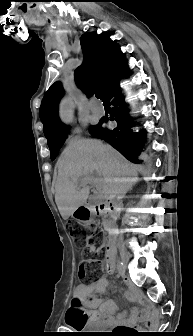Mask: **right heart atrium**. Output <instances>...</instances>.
Instances as JSON below:
<instances>
[{
  "mask_svg": "<svg viewBox=\"0 0 193 336\" xmlns=\"http://www.w3.org/2000/svg\"><path fill=\"white\" fill-rule=\"evenodd\" d=\"M79 135V131L78 130H72L68 133L66 140L67 141H72L75 137H77Z\"/></svg>",
  "mask_w": 193,
  "mask_h": 336,
  "instance_id": "right-heart-atrium-1",
  "label": "right heart atrium"
}]
</instances>
